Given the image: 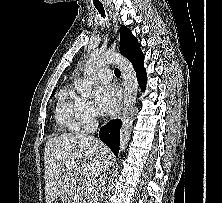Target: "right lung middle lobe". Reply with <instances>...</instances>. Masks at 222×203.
I'll use <instances>...</instances> for the list:
<instances>
[{"instance_id":"right-lung-middle-lobe-1","label":"right lung middle lobe","mask_w":222,"mask_h":203,"mask_svg":"<svg viewBox=\"0 0 222 203\" xmlns=\"http://www.w3.org/2000/svg\"><path fill=\"white\" fill-rule=\"evenodd\" d=\"M53 95H54V92L52 93V96H51V97H53Z\"/></svg>"}]
</instances>
